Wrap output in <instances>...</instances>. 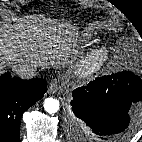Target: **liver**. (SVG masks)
Here are the masks:
<instances>
[{
	"instance_id": "1",
	"label": "liver",
	"mask_w": 142,
	"mask_h": 142,
	"mask_svg": "<svg viewBox=\"0 0 142 142\" xmlns=\"http://www.w3.org/2000/svg\"><path fill=\"white\" fill-rule=\"evenodd\" d=\"M18 28L19 32L11 34L0 27V70L5 63L13 62H33L45 68L55 64V59L64 56L66 30L71 29L70 24L48 19L29 20Z\"/></svg>"
}]
</instances>
